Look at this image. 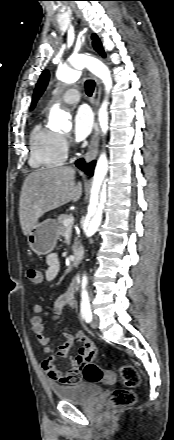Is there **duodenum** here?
I'll list each match as a JSON object with an SVG mask.
<instances>
[{
  "label": "duodenum",
  "instance_id": "410a0bca",
  "mask_svg": "<svg viewBox=\"0 0 174 440\" xmlns=\"http://www.w3.org/2000/svg\"><path fill=\"white\" fill-rule=\"evenodd\" d=\"M84 257V250L82 247H78L75 252H74V256H73V264L74 265H78L81 263L82 259Z\"/></svg>",
  "mask_w": 174,
  "mask_h": 440
}]
</instances>
